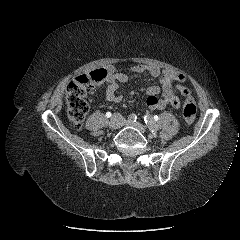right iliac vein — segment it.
<instances>
[{"mask_svg": "<svg viewBox=\"0 0 240 240\" xmlns=\"http://www.w3.org/2000/svg\"><path fill=\"white\" fill-rule=\"evenodd\" d=\"M122 123V118L118 115H115L110 119L108 126L110 129H118L120 126H122Z\"/></svg>", "mask_w": 240, "mask_h": 240, "instance_id": "1", "label": "right iliac vein"}]
</instances>
